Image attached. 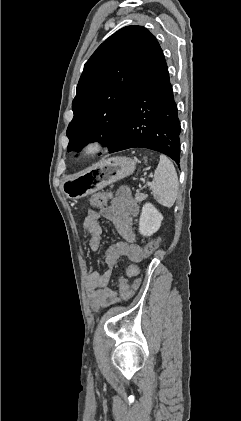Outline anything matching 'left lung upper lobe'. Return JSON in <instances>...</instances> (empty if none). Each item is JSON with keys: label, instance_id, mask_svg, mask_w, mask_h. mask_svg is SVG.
Here are the masks:
<instances>
[{"label": "left lung upper lobe", "instance_id": "5c2ea615", "mask_svg": "<svg viewBox=\"0 0 241 421\" xmlns=\"http://www.w3.org/2000/svg\"><path fill=\"white\" fill-rule=\"evenodd\" d=\"M157 43L142 26H126L106 39L84 65L67 128L68 152L99 141L109 149L120 135L136 87Z\"/></svg>", "mask_w": 241, "mask_h": 421}]
</instances>
